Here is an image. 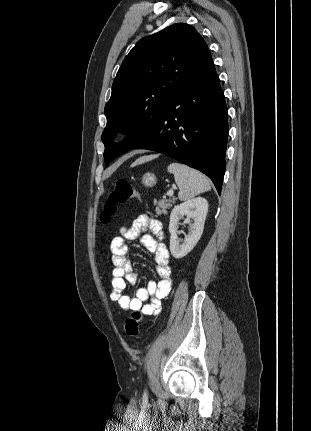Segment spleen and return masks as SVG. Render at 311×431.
I'll use <instances>...</instances> for the list:
<instances>
[{"label": "spleen", "instance_id": "spleen-1", "mask_svg": "<svg viewBox=\"0 0 311 431\" xmlns=\"http://www.w3.org/2000/svg\"><path fill=\"white\" fill-rule=\"evenodd\" d=\"M167 170L170 174H174L175 184L179 188L178 198L181 202L191 200L198 194L211 190L208 178L193 168H188L183 164H169Z\"/></svg>", "mask_w": 311, "mask_h": 431}]
</instances>
